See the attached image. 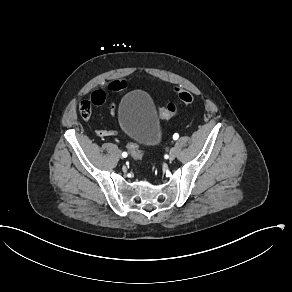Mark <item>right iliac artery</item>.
I'll return each mask as SVG.
<instances>
[{
  "label": "right iliac artery",
  "instance_id": "obj_1",
  "mask_svg": "<svg viewBox=\"0 0 292 292\" xmlns=\"http://www.w3.org/2000/svg\"><path fill=\"white\" fill-rule=\"evenodd\" d=\"M127 155H128L127 152H123V153H122V156H123V157H127Z\"/></svg>",
  "mask_w": 292,
  "mask_h": 292
}]
</instances>
